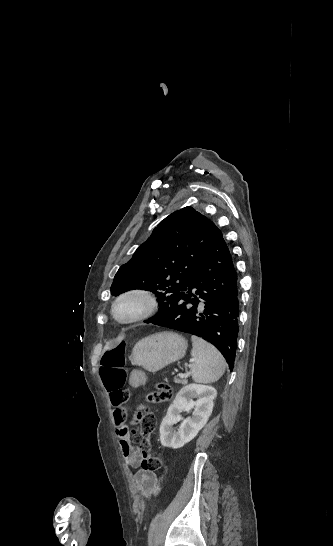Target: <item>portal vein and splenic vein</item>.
Instances as JSON below:
<instances>
[{"label":"portal vein and splenic vein","instance_id":"obj_1","mask_svg":"<svg viewBox=\"0 0 333 546\" xmlns=\"http://www.w3.org/2000/svg\"><path fill=\"white\" fill-rule=\"evenodd\" d=\"M181 376H182V377H185V376H186V374H182Z\"/></svg>","mask_w":333,"mask_h":546}]
</instances>
